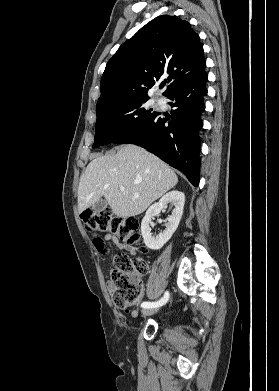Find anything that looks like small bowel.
Returning <instances> with one entry per match:
<instances>
[{
    "instance_id": "small-bowel-1",
    "label": "small bowel",
    "mask_w": 279,
    "mask_h": 391,
    "mask_svg": "<svg viewBox=\"0 0 279 391\" xmlns=\"http://www.w3.org/2000/svg\"><path fill=\"white\" fill-rule=\"evenodd\" d=\"M105 241H113L115 246L118 248V249H121V250H125L127 251L129 254L131 255H135L136 252H137V249L134 247V246H130V245H126V244H123V243H120L118 242L117 240H114L113 237L111 235H107L105 237ZM133 315H136L137 312L136 311H133L132 312Z\"/></svg>"
}]
</instances>
